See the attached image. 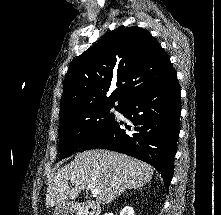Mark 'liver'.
Instances as JSON below:
<instances>
[{
	"mask_svg": "<svg viewBox=\"0 0 221 215\" xmlns=\"http://www.w3.org/2000/svg\"><path fill=\"white\" fill-rule=\"evenodd\" d=\"M153 173L149 164L125 154L100 149L78 153L49 178L45 204L51 208L73 200L86 185L100 191L97 203L109 204L126 189H140L150 182Z\"/></svg>",
	"mask_w": 221,
	"mask_h": 215,
	"instance_id": "6515ba94",
	"label": "liver"
}]
</instances>
